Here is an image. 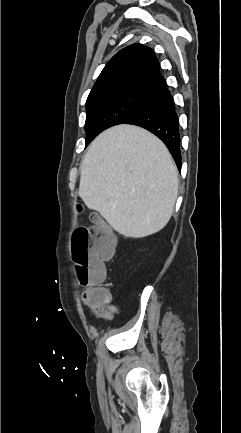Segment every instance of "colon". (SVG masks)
<instances>
[{"label":"colon","instance_id":"obj_1","mask_svg":"<svg viewBox=\"0 0 241 433\" xmlns=\"http://www.w3.org/2000/svg\"><path fill=\"white\" fill-rule=\"evenodd\" d=\"M75 207V215L89 214L88 206ZM93 220L97 224L93 238L89 228H78L75 231L72 257L75 262L73 271L79 273L80 284L89 287L84 298L88 303L96 304L109 296L108 291L99 285L106 278L104 261L111 257L115 241L98 217H94Z\"/></svg>","mask_w":241,"mask_h":433}]
</instances>
